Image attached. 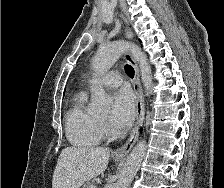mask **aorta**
Instances as JSON below:
<instances>
[{
	"mask_svg": "<svg viewBox=\"0 0 224 188\" xmlns=\"http://www.w3.org/2000/svg\"><path fill=\"white\" fill-rule=\"evenodd\" d=\"M129 48L132 51L134 59L139 64L141 79L146 89V94L149 95L153 85L151 67L147 61L146 55L136 45H129L127 42L121 40L101 45L92 59V68L96 75L104 74ZM108 105L109 98L107 97L103 87L98 84L97 81H94L92 86V101L90 104L91 110L98 113L106 112ZM146 147V141L143 140L133 148L132 152L127 158L115 188H128L130 182L139 169L141 161L146 152Z\"/></svg>",
	"mask_w": 224,
	"mask_h": 188,
	"instance_id": "obj_1",
	"label": "aorta"
}]
</instances>
